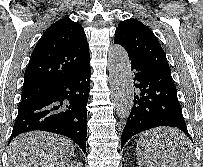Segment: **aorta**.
<instances>
[{"label":"aorta","mask_w":203,"mask_h":167,"mask_svg":"<svg viewBox=\"0 0 203 167\" xmlns=\"http://www.w3.org/2000/svg\"><path fill=\"white\" fill-rule=\"evenodd\" d=\"M108 70L117 115L126 120L133 107L131 65L125 49L112 45L108 51Z\"/></svg>","instance_id":"aorta-1"}]
</instances>
